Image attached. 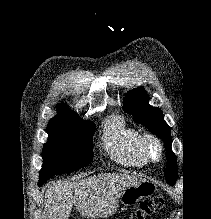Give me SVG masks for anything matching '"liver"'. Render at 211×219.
I'll list each match as a JSON object with an SVG mask.
<instances>
[{
	"label": "liver",
	"mask_w": 211,
	"mask_h": 219,
	"mask_svg": "<svg viewBox=\"0 0 211 219\" xmlns=\"http://www.w3.org/2000/svg\"><path fill=\"white\" fill-rule=\"evenodd\" d=\"M141 179L126 174H100L74 182H51L45 191V217L68 219L73 205L87 218H106L116 211L122 192Z\"/></svg>",
	"instance_id": "obj_1"
}]
</instances>
